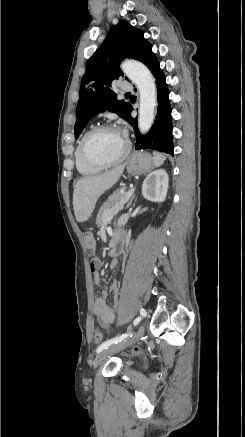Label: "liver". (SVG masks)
<instances>
[{
    "instance_id": "liver-1",
    "label": "liver",
    "mask_w": 245,
    "mask_h": 437,
    "mask_svg": "<svg viewBox=\"0 0 245 437\" xmlns=\"http://www.w3.org/2000/svg\"><path fill=\"white\" fill-rule=\"evenodd\" d=\"M125 165L96 176L81 178L74 186L73 208L77 222L87 221L98 198L119 180Z\"/></svg>"
}]
</instances>
